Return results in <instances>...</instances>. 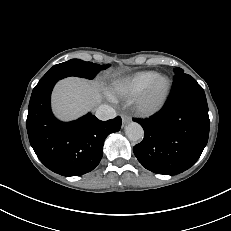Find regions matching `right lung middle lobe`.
Wrapping results in <instances>:
<instances>
[{
	"mask_svg": "<svg viewBox=\"0 0 231 231\" xmlns=\"http://www.w3.org/2000/svg\"><path fill=\"white\" fill-rule=\"evenodd\" d=\"M110 64L102 67L98 64L85 62L80 59L69 61L53 66L38 82L37 86L43 85L54 79H62L67 76H78L93 79L101 70L108 68Z\"/></svg>",
	"mask_w": 231,
	"mask_h": 231,
	"instance_id": "dd1d6c3e",
	"label": "right lung middle lobe"
}]
</instances>
